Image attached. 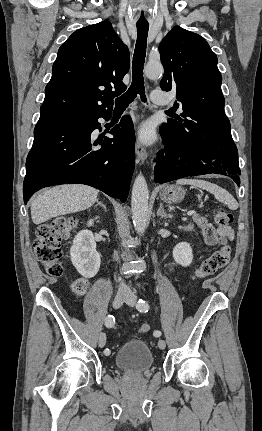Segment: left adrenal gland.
<instances>
[{"mask_svg":"<svg viewBox=\"0 0 262 431\" xmlns=\"http://www.w3.org/2000/svg\"><path fill=\"white\" fill-rule=\"evenodd\" d=\"M157 216L160 218H171L172 216L170 214H167L163 209V204L160 203L159 209L157 211Z\"/></svg>","mask_w":262,"mask_h":431,"instance_id":"1","label":"left adrenal gland"}]
</instances>
